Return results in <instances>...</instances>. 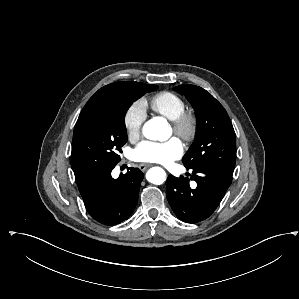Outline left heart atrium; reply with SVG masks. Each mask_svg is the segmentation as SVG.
Instances as JSON below:
<instances>
[{
    "label": "left heart atrium",
    "instance_id": "39dd6f15",
    "mask_svg": "<svg viewBox=\"0 0 299 299\" xmlns=\"http://www.w3.org/2000/svg\"><path fill=\"white\" fill-rule=\"evenodd\" d=\"M183 155V146L176 138L165 142L141 141L132 151L134 161L168 165Z\"/></svg>",
    "mask_w": 299,
    "mask_h": 299
}]
</instances>
